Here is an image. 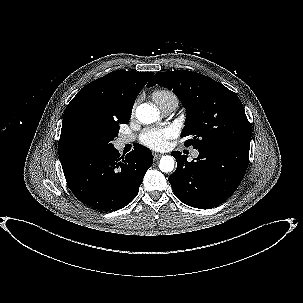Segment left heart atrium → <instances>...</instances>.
Listing matches in <instances>:
<instances>
[{"label": "left heart atrium", "instance_id": "39dd6f15", "mask_svg": "<svg viewBox=\"0 0 303 303\" xmlns=\"http://www.w3.org/2000/svg\"><path fill=\"white\" fill-rule=\"evenodd\" d=\"M176 136L173 127L147 128L140 136L141 143L153 150H163L168 146V141Z\"/></svg>", "mask_w": 303, "mask_h": 303}]
</instances>
